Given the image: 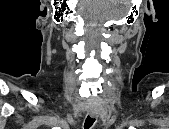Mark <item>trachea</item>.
<instances>
[{"mask_svg":"<svg viewBox=\"0 0 169 129\" xmlns=\"http://www.w3.org/2000/svg\"><path fill=\"white\" fill-rule=\"evenodd\" d=\"M94 122H95L94 118L87 116L85 119L84 128L89 129L93 125Z\"/></svg>","mask_w":169,"mask_h":129,"instance_id":"obj_1","label":"trachea"}]
</instances>
